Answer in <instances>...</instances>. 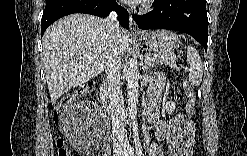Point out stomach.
I'll return each instance as SVG.
<instances>
[{
    "label": "stomach",
    "mask_w": 247,
    "mask_h": 156,
    "mask_svg": "<svg viewBox=\"0 0 247 156\" xmlns=\"http://www.w3.org/2000/svg\"><path fill=\"white\" fill-rule=\"evenodd\" d=\"M139 41L149 52L159 54H170L180 43L179 36L168 30L142 34L139 37Z\"/></svg>",
    "instance_id": "obj_1"
}]
</instances>
